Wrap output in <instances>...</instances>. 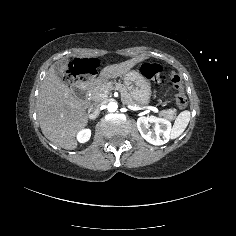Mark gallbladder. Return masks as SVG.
I'll list each match as a JSON object with an SVG mask.
<instances>
[{
  "label": "gallbladder",
  "instance_id": "gallbladder-1",
  "mask_svg": "<svg viewBox=\"0 0 236 236\" xmlns=\"http://www.w3.org/2000/svg\"><path fill=\"white\" fill-rule=\"evenodd\" d=\"M67 60L66 59H62L60 61H57L54 65L53 68L55 70V73L58 77L63 76V72L62 69L67 68Z\"/></svg>",
  "mask_w": 236,
  "mask_h": 236
}]
</instances>
